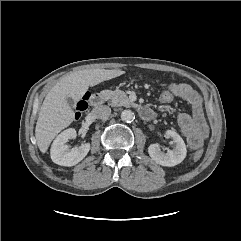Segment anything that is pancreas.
Returning a JSON list of instances; mask_svg holds the SVG:
<instances>
[{"label":"pancreas","instance_id":"pancreas-1","mask_svg":"<svg viewBox=\"0 0 241 241\" xmlns=\"http://www.w3.org/2000/svg\"><path fill=\"white\" fill-rule=\"evenodd\" d=\"M104 100L108 102L111 106H126L129 107L133 105V102L130 101L129 97L122 90H103L101 92Z\"/></svg>","mask_w":241,"mask_h":241}]
</instances>
